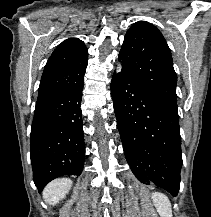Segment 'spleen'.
Returning <instances> with one entry per match:
<instances>
[{"instance_id":"spleen-1","label":"spleen","mask_w":211,"mask_h":217,"mask_svg":"<svg viewBox=\"0 0 211 217\" xmlns=\"http://www.w3.org/2000/svg\"><path fill=\"white\" fill-rule=\"evenodd\" d=\"M151 198L160 217H173L171 203L165 194L155 192Z\"/></svg>"}]
</instances>
